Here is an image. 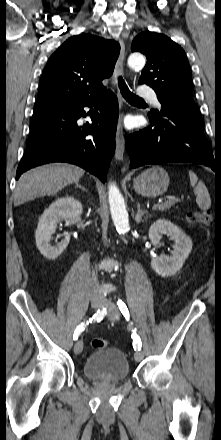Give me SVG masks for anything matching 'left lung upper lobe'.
<instances>
[{
  "mask_svg": "<svg viewBox=\"0 0 221 440\" xmlns=\"http://www.w3.org/2000/svg\"><path fill=\"white\" fill-rule=\"evenodd\" d=\"M131 51L145 54L147 63L139 84H148L157 93L161 112L148 115L161 118L164 111H178L202 119L192 97L191 69L184 50L163 34L144 31L137 35Z\"/></svg>",
  "mask_w": 221,
  "mask_h": 440,
  "instance_id": "left-lung-upper-lobe-1",
  "label": "left lung upper lobe"
}]
</instances>
